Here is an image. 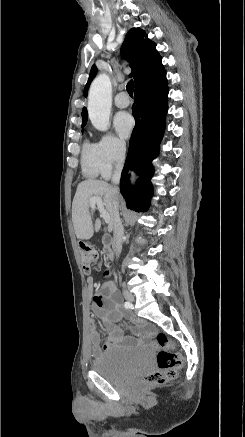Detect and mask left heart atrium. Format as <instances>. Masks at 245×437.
Segmentation results:
<instances>
[{
	"instance_id": "obj_1",
	"label": "left heart atrium",
	"mask_w": 245,
	"mask_h": 437,
	"mask_svg": "<svg viewBox=\"0 0 245 437\" xmlns=\"http://www.w3.org/2000/svg\"><path fill=\"white\" fill-rule=\"evenodd\" d=\"M114 127L121 137L128 138L134 127L132 116L127 112L118 113L114 119Z\"/></svg>"
}]
</instances>
